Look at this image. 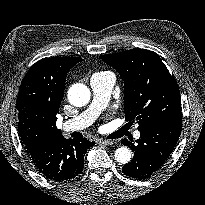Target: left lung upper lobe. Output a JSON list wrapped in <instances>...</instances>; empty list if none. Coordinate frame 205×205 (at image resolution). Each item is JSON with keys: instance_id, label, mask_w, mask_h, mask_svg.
Returning <instances> with one entry per match:
<instances>
[{"instance_id": "5c2ea615", "label": "left lung upper lobe", "mask_w": 205, "mask_h": 205, "mask_svg": "<svg viewBox=\"0 0 205 205\" xmlns=\"http://www.w3.org/2000/svg\"><path fill=\"white\" fill-rule=\"evenodd\" d=\"M100 58L124 80L126 120L137 121L139 131L182 120L178 85L158 54L131 49Z\"/></svg>"}]
</instances>
